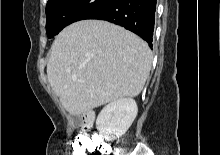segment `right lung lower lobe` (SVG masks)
<instances>
[{
	"label": "right lung lower lobe",
	"mask_w": 220,
	"mask_h": 155,
	"mask_svg": "<svg viewBox=\"0 0 220 155\" xmlns=\"http://www.w3.org/2000/svg\"><path fill=\"white\" fill-rule=\"evenodd\" d=\"M156 0H114L85 19H100L123 26L149 43L153 41Z\"/></svg>",
	"instance_id": "obj_1"
}]
</instances>
